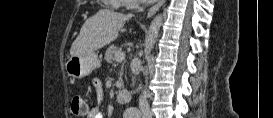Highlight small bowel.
Listing matches in <instances>:
<instances>
[{"mask_svg": "<svg viewBox=\"0 0 273 118\" xmlns=\"http://www.w3.org/2000/svg\"><path fill=\"white\" fill-rule=\"evenodd\" d=\"M93 86L96 92V96H97V100H98V104L92 106L87 114V118H102L103 114L101 111V107H100V103L103 99V89H102V85L100 83L99 80H94L93 82Z\"/></svg>", "mask_w": 273, "mask_h": 118, "instance_id": "obj_1", "label": "small bowel"}]
</instances>
